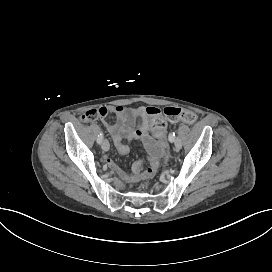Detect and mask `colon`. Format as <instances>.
<instances>
[{"mask_svg": "<svg viewBox=\"0 0 272 272\" xmlns=\"http://www.w3.org/2000/svg\"><path fill=\"white\" fill-rule=\"evenodd\" d=\"M108 109L106 107H100L97 109L88 110L84 116V121H93L98 116H106ZM197 112L195 110H182L178 106L170 105L165 107L149 106L145 110V119L152 123V127L155 129L153 136L157 143L161 146V151L163 153H168L170 151V146L165 144L171 136L169 127L170 122H177L179 120L184 122H194L197 119ZM156 173V168L154 166H149L146 170V175L142 177L141 189L143 191H148L150 189V183L152 182V177Z\"/></svg>", "mask_w": 272, "mask_h": 272, "instance_id": "colon-1", "label": "colon"}]
</instances>
